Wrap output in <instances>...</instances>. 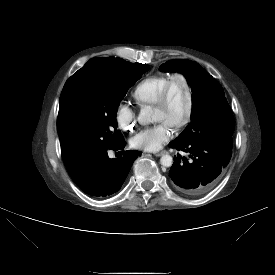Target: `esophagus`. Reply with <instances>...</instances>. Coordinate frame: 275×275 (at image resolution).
<instances>
[{
    "mask_svg": "<svg viewBox=\"0 0 275 275\" xmlns=\"http://www.w3.org/2000/svg\"><path fill=\"white\" fill-rule=\"evenodd\" d=\"M166 153V151H161V152H158V153H154V155L156 156V157H160V156H162L163 154H165Z\"/></svg>",
    "mask_w": 275,
    "mask_h": 275,
    "instance_id": "esophagus-1",
    "label": "esophagus"
}]
</instances>
